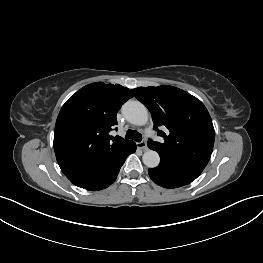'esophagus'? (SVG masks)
Segmentation results:
<instances>
[{"label":"esophagus","mask_w":263,"mask_h":263,"mask_svg":"<svg viewBox=\"0 0 263 263\" xmlns=\"http://www.w3.org/2000/svg\"><path fill=\"white\" fill-rule=\"evenodd\" d=\"M137 148L143 150V151H147L148 147L145 141H141L137 143Z\"/></svg>","instance_id":"1"}]
</instances>
